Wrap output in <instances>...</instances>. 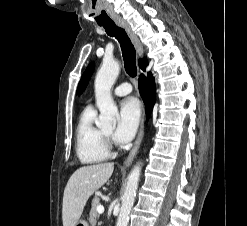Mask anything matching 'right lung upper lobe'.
<instances>
[{"mask_svg":"<svg viewBox=\"0 0 247 226\" xmlns=\"http://www.w3.org/2000/svg\"><path fill=\"white\" fill-rule=\"evenodd\" d=\"M139 66L143 69L145 67V64L142 60L139 61Z\"/></svg>","mask_w":247,"mask_h":226,"instance_id":"right-lung-upper-lobe-1","label":"right lung upper lobe"}]
</instances>
